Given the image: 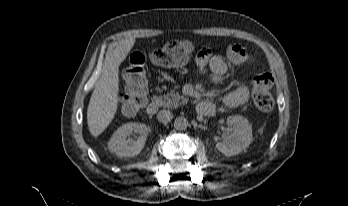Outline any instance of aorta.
Returning <instances> with one entry per match:
<instances>
[{
    "label": "aorta",
    "instance_id": "762f6f07",
    "mask_svg": "<svg viewBox=\"0 0 348 206\" xmlns=\"http://www.w3.org/2000/svg\"><path fill=\"white\" fill-rule=\"evenodd\" d=\"M189 123L185 117H178L175 119L174 127L177 130H185L188 127Z\"/></svg>",
    "mask_w": 348,
    "mask_h": 206
}]
</instances>
